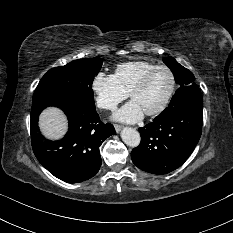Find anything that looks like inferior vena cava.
Segmentation results:
<instances>
[{
  "label": "inferior vena cava",
  "mask_w": 233,
  "mask_h": 233,
  "mask_svg": "<svg viewBox=\"0 0 233 233\" xmlns=\"http://www.w3.org/2000/svg\"><path fill=\"white\" fill-rule=\"evenodd\" d=\"M112 109L115 110V109H116V106H113Z\"/></svg>",
  "instance_id": "inferior-vena-cava-1"
}]
</instances>
